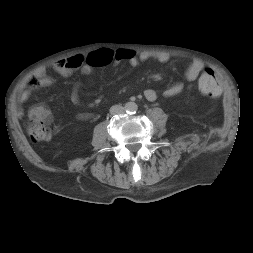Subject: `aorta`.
<instances>
[{
  "label": "aorta",
  "instance_id": "obj_1",
  "mask_svg": "<svg viewBox=\"0 0 253 253\" xmlns=\"http://www.w3.org/2000/svg\"><path fill=\"white\" fill-rule=\"evenodd\" d=\"M124 109H125L126 113L134 114L137 111L138 106L135 102H127L124 106Z\"/></svg>",
  "mask_w": 253,
  "mask_h": 253
}]
</instances>
